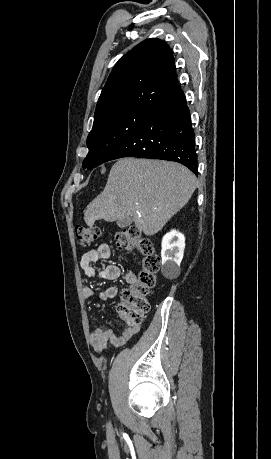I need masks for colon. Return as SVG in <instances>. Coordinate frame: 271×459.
Masks as SVG:
<instances>
[{"instance_id": "obj_1", "label": "colon", "mask_w": 271, "mask_h": 459, "mask_svg": "<svg viewBox=\"0 0 271 459\" xmlns=\"http://www.w3.org/2000/svg\"><path fill=\"white\" fill-rule=\"evenodd\" d=\"M155 2L156 0H149ZM75 235L83 247L91 246L99 237V229L91 226H77ZM116 245L124 251H139L142 267L136 283L125 287L121 292L118 312L129 326L139 325L150 309L149 292L156 282V274L160 268V258L155 253L152 242L143 237L139 229L129 226L115 235Z\"/></svg>"}]
</instances>
